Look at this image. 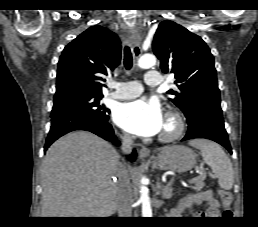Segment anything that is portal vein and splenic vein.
<instances>
[{
    "label": "portal vein and splenic vein",
    "mask_w": 258,
    "mask_h": 227,
    "mask_svg": "<svg viewBox=\"0 0 258 227\" xmlns=\"http://www.w3.org/2000/svg\"><path fill=\"white\" fill-rule=\"evenodd\" d=\"M198 173L201 175L204 174L201 170H198ZM197 181H198V177L190 179L189 183L192 184V183H196Z\"/></svg>",
    "instance_id": "obj_1"
}]
</instances>
